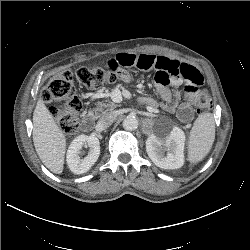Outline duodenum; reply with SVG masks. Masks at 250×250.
<instances>
[{
  "mask_svg": "<svg viewBox=\"0 0 250 250\" xmlns=\"http://www.w3.org/2000/svg\"><path fill=\"white\" fill-rule=\"evenodd\" d=\"M94 115L92 113L86 114L82 119V128L84 131H91L93 128Z\"/></svg>",
  "mask_w": 250,
  "mask_h": 250,
  "instance_id": "1",
  "label": "duodenum"
}]
</instances>
